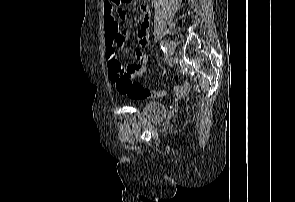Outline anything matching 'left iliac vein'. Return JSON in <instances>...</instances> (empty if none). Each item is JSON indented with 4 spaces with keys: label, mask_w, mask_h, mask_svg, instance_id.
<instances>
[{
    "label": "left iliac vein",
    "mask_w": 295,
    "mask_h": 202,
    "mask_svg": "<svg viewBox=\"0 0 295 202\" xmlns=\"http://www.w3.org/2000/svg\"><path fill=\"white\" fill-rule=\"evenodd\" d=\"M166 49H167L169 55L172 56L174 54V50H175V43L173 41H169L166 44Z\"/></svg>",
    "instance_id": "1"
}]
</instances>
